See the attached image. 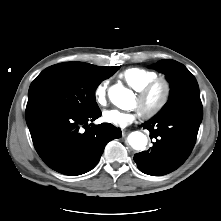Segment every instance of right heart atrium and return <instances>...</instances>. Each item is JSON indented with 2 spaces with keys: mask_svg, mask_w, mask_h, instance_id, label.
<instances>
[{
  "mask_svg": "<svg viewBox=\"0 0 221 221\" xmlns=\"http://www.w3.org/2000/svg\"><path fill=\"white\" fill-rule=\"evenodd\" d=\"M95 99L100 106H104L107 102V84L100 83L95 89Z\"/></svg>",
  "mask_w": 221,
  "mask_h": 221,
  "instance_id": "1",
  "label": "right heart atrium"
}]
</instances>
